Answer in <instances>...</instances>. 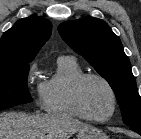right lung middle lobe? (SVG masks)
Wrapping results in <instances>:
<instances>
[{"mask_svg":"<svg viewBox=\"0 0 141 139\" xmlns=\"http://www.w3.org/2000/svg\"><path fill=\"white\" fill-rule=\"evenodd\" d=\"M29 64L0 65V111L32 102L27 87Z\"/></svg>","mask_w":141,"mask_h":139,"instance_id":"obj_1","label":"right lung middle lobe"}]
</instances>
